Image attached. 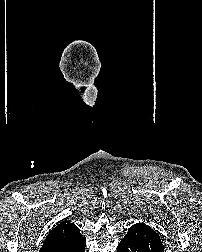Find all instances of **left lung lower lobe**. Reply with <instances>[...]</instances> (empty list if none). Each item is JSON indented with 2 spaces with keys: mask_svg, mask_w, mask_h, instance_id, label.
I'll return each mask as SVG.
<instances>
[{
  "mask_svg": "<svg viewBox=\"0 0 202 252\" xmlns=\"http://www.w3.org/2000/svg\"><path fill=\"white\" fill-rule=\"evenodd\" d=\"M117 252H164V247L155 230L144 223H137L129 228Z\"/></svg>",
  "mask_w": 202,
  "mask_h": 252,
  "instance_id": "0a47b994",
  "label": "left lung lower lobe"
}]
</instances>
